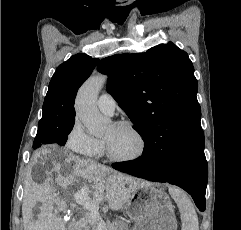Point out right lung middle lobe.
Masks as SVG:
<instances>
[{"label":"right lung middle lobe","mask_w":241,"mask_h":230,"mask_svg":"<svg viewBox=\"0 0 241 230\" xmlns=\"http://www.w3.org/2000/svg\"><path fill=\"white\" fill-rule=\"evenodd\" d=\"M75 119L56 120L52 117L42 116L38 124V132L34 139L33 148L36 149L41 144L56 143L64 145L68 134L72 131Z\"/></svg>","instance_id":"obj_1"}]
</instances>
